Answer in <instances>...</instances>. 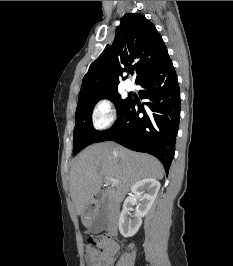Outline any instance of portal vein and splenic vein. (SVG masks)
<instances>
[{"instance_id":"18ae733b","label":"portal vein and splenic vein","mask_w":233,"mask_h":266,"mask_svg":"<svg viewBox=\"0 0 233 266\" xmlns=\"http://www.w3.org/2000/svg\"><path fill=\"white\" fill-rule=\"evenodd\" d=\"M106 183L115 186V185L118 184V181H116V180L113 179V178H109V177H107V178H106Z\"/></svg>"}]
</instances>
